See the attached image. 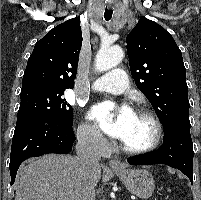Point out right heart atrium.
<instances>
[{
    "label": "right heart atrium",
    "instance_id": "obj_1",
    "mask_svg": "<svg viewBox=\"0 0 201 200\" xmlns=\"http://www.w3.org/2000/svg\"><path fill=\"white\" fill-rule=\"evenodd\" d=\"M77 137L83 147L99 154L106 153L109 148V142L93 125L81 123L77 130Z\"/></svg>",
    "mask_w": 201,
    "mask_h": 200
}]
</instances>
